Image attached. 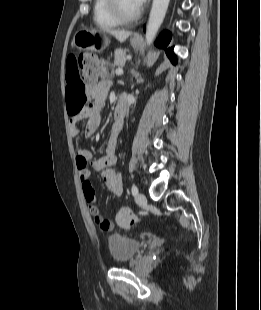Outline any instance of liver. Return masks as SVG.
<instances>
[{"label": "liver", "instance_id": "obj_1", "mask_svg": "<svg viewBox=\"0 0 261 310\" xmlns=\"http://www.w3.org/2000/svg\"><path fill=\"white\" fill-rule=\"evenodd\" d=\"M109 33L121 43H123L131 35L130 31L125 30H112L109 31Z\"/></svg>", "mask_w": 261, "mask_h": 310}]
</instances>
